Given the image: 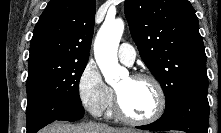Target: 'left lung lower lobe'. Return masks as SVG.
Instances as JSON below:
<instances>
[{
  "mask_svg": "<svg viewBox=\"0 0 221 133\" xmlns=\"http://www.w3.org/2000/svg\"><path fill=\"white\" fill-rule=\"evenodd\" d=\"M209 103L207 89L185 92L157 121L139 129L151 131L180 130L186 133H207Z\"/></svg>",
  "mask_w": 221,
  "mask_h": 133,
  "instance_id": "1",
  "label": "left lung lower lobe"
}]
</instances>
